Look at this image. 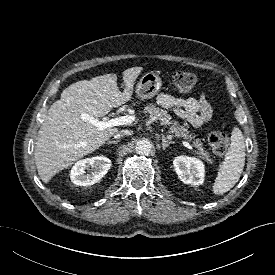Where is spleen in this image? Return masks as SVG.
Returning <instances> with one entry per match:
<instances>
[{
	"mask_svg": "<svg viewBox=\"0 0 275 275\" xmlns=\"http://www.w3.org/2000/svg\"><path fill=\"white\" fill-rule=\"evenodd\" d=\"M231 144L220 166L213 185L215 195H223L239 181L245 165V143L241 130L235 127L231 134Z\"/></svg>",
	"mask_w": 275,
	"mask_h": 275,
	"instance_id": "1",
	"label": "spleen"
}]
</instances>
